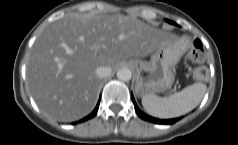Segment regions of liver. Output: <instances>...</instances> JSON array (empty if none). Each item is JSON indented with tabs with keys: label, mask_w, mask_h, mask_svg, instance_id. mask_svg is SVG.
<instances>
[{
	"label": "liver",
	"mask_w": 238,
	"mask_h": 145,
	"mask_svg": "<svg viewBox=\"0 0 238 145\" xmlns=\"http://www.w3.org/2000/svg\"><path fill=\"white\" fill-rule=\"evenodd\" d=\"M168 34L125 15L70 13L36 38L27 63V83L47 116L72 122L97 102L100 66L115 69L121 60L146 57Z\"/></svg>",
	"instance_id": "liver-1"
}]
</instances>
